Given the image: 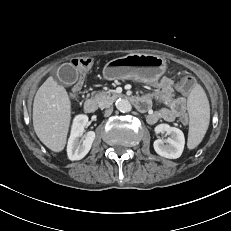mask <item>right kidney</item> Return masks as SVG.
Wrapping results in <instances>:
<instances>
[{"label": "right kidney", "mask_w": 231, "mask_h": 231, "mask_svg": "<svg viewBox=\"0 0 231 231\" xmlns=\"http://www.w3.org/2000/svg\"><path fill=\"white\" fill-rule=\"evenodd\" d=\"M87 122L88 117L86 115H77L73 120L67 145V155L72 161L84 158L90 151L95 139L94 131L84 133Z\"/></svg>", "instance_id": "obj_1"}]
</instances>
